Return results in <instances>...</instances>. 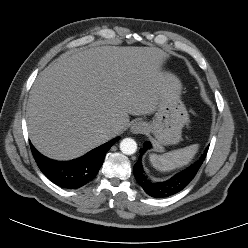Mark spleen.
Returning <instances> with one entry per match:
<instances>
[{
    "label": "spleen",
    "mask_w": 248,
    "mask_h": 248,
    "mask_svg": "<svg viewBox=\"0 0 248 248\" xmlns=\"http://www.w3.org/2000/svg\"><path fill=\"white\" fill-rule=\"evenodd\" d=\"M198 147V144H193L163 155L150 154L149 159L155 169L167 172L188 165L197 153Z\"/></svg>",
    "instance_id": "spleen-1"
}]
</instances>
